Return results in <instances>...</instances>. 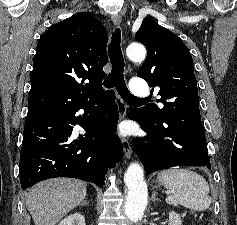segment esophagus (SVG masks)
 Wrapping results in <instances>:
<instances>
[{
	"label": "esophagus",
	"mask_w": 237,
	"mask_h": 225,
	"mask_svg": "<svg viewBox=\"0 0 237 225\" xmlns=\"http://www.w3.org/2000/svg\"><path fill=\"white\" fill-rule=\"evenodd\" d=\"M112 21L116 26H118L122 22V18L120 15L116 14V15L112 16ZM116 101H117V106H118V110H119V119H120V121H122L127 116V106H126L125 102L119 96L117 97ZM118 134H119L120 142L122 144L125 156L128 159H130L131 155H132L131 144L126 137L122 136L120 133H118Z\"/></svg>",
	"instance_id": "esophagus-1"
}]
</instances>
